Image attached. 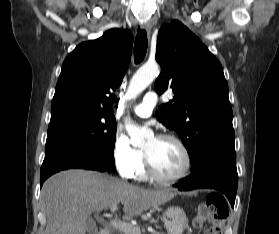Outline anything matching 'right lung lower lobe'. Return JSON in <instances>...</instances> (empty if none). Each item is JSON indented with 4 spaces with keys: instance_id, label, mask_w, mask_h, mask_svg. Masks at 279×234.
<instances>
[{
    "instance_id": "obj_1",
    "label": "right lung lower lobe",
    "mask_w": 279,
    "mask_h": 234,
    "mask_svg": "<svg viewBox=\"0 0 279 234\" xmlns=\"http://www.w3.org/2000/svg\"><path fill=\"white\" fill-rule=\"evenodd\" d=\"M71 168L107 171V167L86 152L78 149H64L45 157L41 166V186L52 174Z\"/></svg>"
}]
</instances>
